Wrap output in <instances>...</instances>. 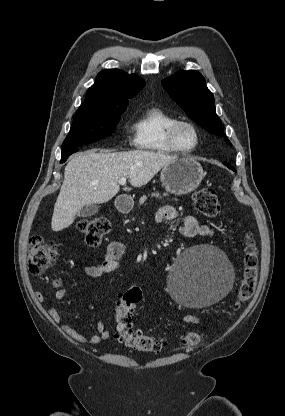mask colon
<instances>
[{
  "label": "colon",
  "mask_w": 285,
  "mask_h": 416,
  "mask_svg": "<svg viewBox=\"0 0 285 416\" xmlns=\"http://www.w3.org/2000/svg\"><path fill=\"white\" fill-rule=\"evenodd\" d=\"M195 209L204 217L214 218L221 212L220 202L214 189L204 187L193 196ZM78 229L86 244L97 246L110 229V222L103 217L81 220ZM58 247L54 241L34 235L29 240V271L36 276L42 275L57 259ZM259 275L258 249L252 236H247L244 249V274L237 289L235 307L249 300L255 291ZM142 299L140 287L130 286L119 298L115 306L116 338L126 347L139 352H157L165 342L140 330L133 329L132 313ZM203 341V334L188 332L183 343L186 347L196 346Z\"/></svg>",
  "instance_id": "1"
}]
</instances>
